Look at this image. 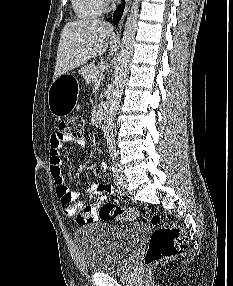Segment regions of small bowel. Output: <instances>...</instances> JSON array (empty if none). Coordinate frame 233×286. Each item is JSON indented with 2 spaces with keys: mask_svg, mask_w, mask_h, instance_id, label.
<instances>
[{
  "mask_svg": "<svg viewBox=\"0 0 233 286\" xmlns=\"http://www.w3.org/2000/svg\"><path fill=\"white\" fill-rule=\"evenodd\" d=\"M65 142H75L81 147L85 146L83 138L72 139L60 137L57 133L53 134L49 149V169L56 184L57 196L64 206L63 212L66 216H75L79 224L92 223L98 220L95 210L100 205L106 203L110 194L113 193V186L109 183H93L87 190L89 194L99 195L100 199L93 205H85L78 202L79 192L71 190L63 176V161L61 158L62 146ZM105 168V164L101 165Z\"/></svg>",
  "mask_w": 233,
  "mask_h": 286,
  "instance_id": "obj_1",
  "label": "small bowel"
}]
</instances>
